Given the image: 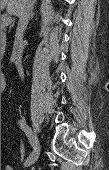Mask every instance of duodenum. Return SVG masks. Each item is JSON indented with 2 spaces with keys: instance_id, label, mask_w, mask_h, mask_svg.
<instances>
[{
  "instance_id": "1",
  "label": "duodenum",
  "mask_w": 109,
  "mask_h": 170,
  "mask_svg": "<svg viewBox=\"0 0 109 170\" xmlns=\"http://www.w3.org/2000/svg\"><path fill=\"white\" fill-rule=\"evenodd\" d=\"M6 86V80L4 75L1 76V87H5Z\"/></svg>"
}]
</instances>
